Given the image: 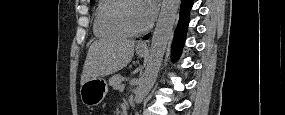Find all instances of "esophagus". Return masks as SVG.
<instances>
[{
  "mask_svg": "<svg viewBox=\"0 0 285 115\" xmlns=\"http://www.w3.org/2000/svg\"><path fill=\"white\" fill-rule=\"evenodd\" d=\"M138 47L139 48H147V44H146V42H139Z\"/></svg>",
  "mask_w": 285,
  "mask_h": 115,
  "instance_id": "1",
  "label": "esophagus"
}]
</instances>
